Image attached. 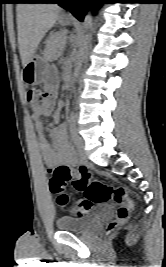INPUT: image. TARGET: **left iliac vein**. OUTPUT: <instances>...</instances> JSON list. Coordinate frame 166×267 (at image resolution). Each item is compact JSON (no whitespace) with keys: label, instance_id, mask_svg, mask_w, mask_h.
I'll use <instances>...</instances> for the list:
<instances>
[{"label":"left iliac vein","instance_id":"obj_1","mask_svg":"<svg viewBox=\"0 0 166 267\" xmlns=\"http://www.w3.org/2000/svg\"><path fill=\"white\" fill-rule=\"evenodd\" d=\"M75 147L81 156H83V157L86 156V152L84 149V141H83L82 137L79 136L77 133L75 136Z\"/></svg>","mask_w":166,"mask_h":267}]
</instances>
